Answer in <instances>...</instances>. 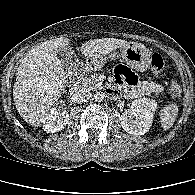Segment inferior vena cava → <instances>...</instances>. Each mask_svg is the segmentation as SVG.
<instances>
[{
	"label": "inferior vena cava",
	"mask_w": 195,
	"mask_h": 195,
	"mask_svg": "<svg viewBox=\"0 0 195 195\" xmlns=\"http://www.w3.org/2000/svg\"><path fill=\"white\" fill-rule=\"evenodd\" d=\"M92 97V93L87 89H81L73 95L75 102L82 104L88 102Z\"/></svg>",
	"instance_id": "inferior-vena-cava-1"
}]
</instances>
